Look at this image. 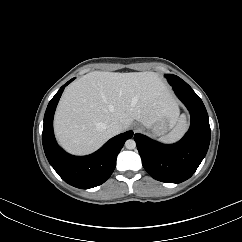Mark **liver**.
I'll use <instances>...</instances> for the list:
<instances>
[{"mask_svg":"<svg viewBox=\"0 0 242 242\" xmlns=\"http://www.w3.org/2000/svg\"><path fill=\"white\" fill-rule=\"evenodd\" d=\"M178 106L154 72H90L69 85L58 104L54 130L70 153L89 154L112 135L111 123L127 130L134 120L150 128L164 117L176 120Z\"/></svg>","mask_w":242,"mask_h":242,"instance_id":"obj_1","label":"liver"}]
</instances>
